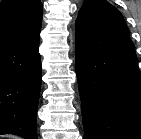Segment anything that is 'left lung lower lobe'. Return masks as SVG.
<instances>
[{"instance_id": "0a47b994", "label": "left lung lower lobe", "mask_w": 141, "mask_h": 139, "mask_svg": "<svg viewBox=\"0 0 141 139\" xmlns=\"http://www.w3.org/2000/svg\"><path fill=\"white\" fill-rule=\"evenodd\" d=\"M84 139H141V74L130 38L76 22Z\"/></svg>"}]
</instances>
